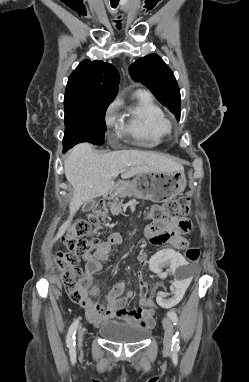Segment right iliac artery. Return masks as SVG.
Masks as SVG:
<instances>
[{
  "mask_svg": "<svg viewBox=\"0 0 249 382\" xmlns=\"http://www.w3.org/2000/svg\"><path fill=\"white\" fill-rule=\"evenodd\" d=\"M78 325H79V319L75 320L69 328V331L67 334V346L70 348H73L76 345L75 334H76Z\"/></svg>",
  "mask_w": 249,
  "mask_h": 382,
  "instance_id": "obj_1",
  "label": "right iliac artery"
}]
</instances>
